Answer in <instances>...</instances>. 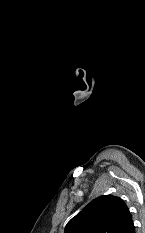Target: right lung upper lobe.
<instances>
[{
  "mask_svg": "<svg viewBox=\"0 0 145 233\" xmlns=\"http://www.w3.org/2000/svg\"><path fill=\"white\" fill-rule=\"evenodd\" d=\"M64 233H135L125 202L113 195L91 201L66 225Z\"/></svg>",
  "mask_w": 145,
  "mask_h": 233,
  "instance_id": "obj_1",
  "label": "right lung upper lobe"
}]
</instances>
